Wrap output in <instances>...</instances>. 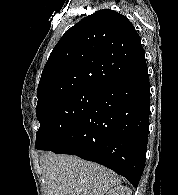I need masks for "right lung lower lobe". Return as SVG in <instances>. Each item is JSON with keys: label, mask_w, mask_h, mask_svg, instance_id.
Returning a JSON list of instances; mask_svg holds the SVG:
<instances>
[{"label": "right lung lower lobe", "mask_w": 178, "mask_h": 195, "mask_svg": "<svg viewBox=\"0 0 178 195\" xmlns=\"http://www.w3.org/2000/svg\"><path fill=\"white\" fill-rule=\"evenodd\" d=\"M149 96L146 65L100 89L83 119L51 151L102 164L136 188L145 167Z\"/></svg>", "instance_id": "obj_1"}]
</instances>
